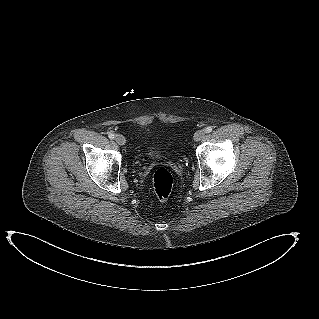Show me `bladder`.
<instances>
[{
	"label": "bladder",
	"instance_id": "bladder-1",
	"mask_svg": "<svg viewBox=\"0 0 319 319\" xmlns=\"http://www.w3.org/2000/svg\"><path fill=\"white\" fill-rule=\"evenodd\" d=\"M152 155H153V153H152V152H150V153H149V156H152Z\"/></svg>",
	"mask_w": 319,
	"mask_h": 319
}]
</instances>
